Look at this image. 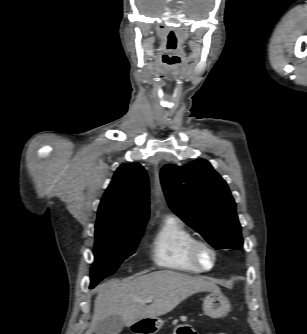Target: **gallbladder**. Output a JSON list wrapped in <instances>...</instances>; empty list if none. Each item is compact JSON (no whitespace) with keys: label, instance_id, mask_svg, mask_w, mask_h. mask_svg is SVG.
Returning a JSON list of instances; mask_svg holds the SVG:
<instances>
[{"label":"gallbladder","instance_id":"obj_1","mask_svg":"<svg viewBox=\"0 0 307 334\" xmlns=\"http://www.w3.org/2000/svg\"><path fill=\"white\" fill-rule=\"evenodd\" d=\"M124 327V321L119 315H110L95 326V334H119Z\"/></svg>","mask_w":307,"mask_h":334}]
</instances>
